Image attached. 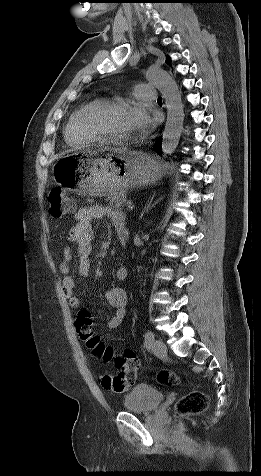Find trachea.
Returning <instances> with one entry per match:
<instances>
[{
  "mask_svg": "<svg viewBox=\"0 0 261 476\" xmlns=\"http://www.w3.org/2000/svg\"><path fill=\"white\" fill-rule=\"evenodd\" d=\"M158 101H159V102H162V98H161V97H159V98H158Z\"/></svg>",
  "mask_w": 261,
  "mask_h": 476,
  "instance_id": "1",
  "label": "trachea"
}]
</instances>
